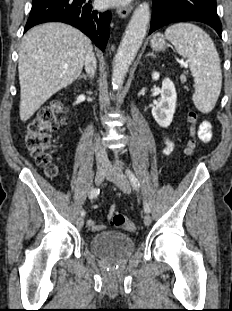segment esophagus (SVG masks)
Listing matches in <instances>:
<instances>
[{"label":"esophagus","instance_id":"obj_1","mask_svg":"<svg viewBox=\"0 0 232 311\" xmlns=\"http://www.w3.org/2000/svg\"><path fill=\"white\" fill-rule=\"evenodd\" d=\"M132 11V7L131 6H127V7H119L117 8V14L119 17L121 18H126L127 16H129V14Z\"/></svg>","mask_w":232,"mask_h":311}]
</instances>
